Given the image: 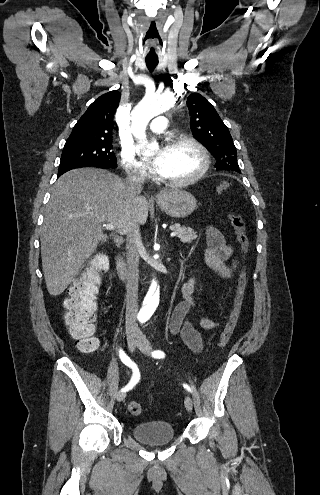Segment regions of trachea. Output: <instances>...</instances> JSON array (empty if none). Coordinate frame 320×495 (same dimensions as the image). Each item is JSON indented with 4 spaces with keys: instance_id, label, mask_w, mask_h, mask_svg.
I'll list each match as a JSON object with an SVG mask.
<instances>
[{
    "instance_id": "1",
    "label": "trachea",
    "mask_w": 320,
    "mask_h": 495,
    "mask_svg": "<svg viewBox=\"0 0 320 495\" xmlns=\"http://www.w3.org/2000/svg\"><path fill=\"white\" fill-rule=\"evenodd\" d=\"M157 64H158L157 60H146V65L150 71H153L157 66Z\"/></svg>"
}]
</instances>
